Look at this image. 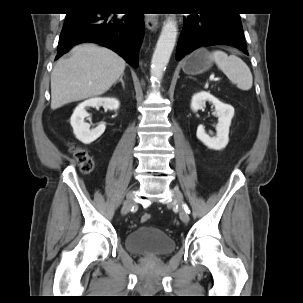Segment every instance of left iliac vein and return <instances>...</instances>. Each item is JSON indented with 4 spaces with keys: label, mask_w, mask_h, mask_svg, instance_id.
<instances>
[{
    "label": "left iliac vein",
    "mask_w": 303,
    "mask_h": 303,
    "mask_svg": "<svg viewBox=\"0 0 303 303\" xmlns=\"http://www.w3.org/2000/svg\"><path fill=\"white\" fill-rule=\"evenodd\" d=\"M172 194H173L172 204H178L180 206V211H179L180 219L184 223L189 222V214L182 207V203H183V194H182V192L179 189H173Z\"/></svg>",
    "instance_id": "4c4485c4"
}]
</instances>
